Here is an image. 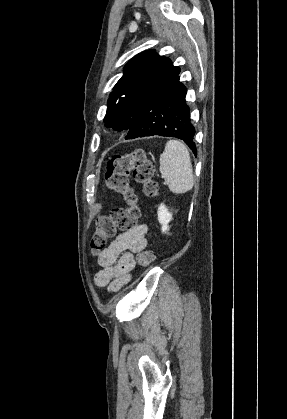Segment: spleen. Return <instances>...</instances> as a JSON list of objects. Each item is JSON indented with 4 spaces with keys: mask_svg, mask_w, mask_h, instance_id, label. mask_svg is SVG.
Masks as SVG:
<instances>
[{
    "mask_svg": "<svg viewBox=\"0 0 287 419\" xmlns=\"http://www.w3.org/2000/svg\"><path fill=\"white\" fill-rule=\"evenodd\" d=\"M160 172L165 184L175 194H183L193 188L194 176L187 147L178 140H169L160 156Z\"/></svg>",
    "mask_w": 287,
    "mask_h": 419,
    "instance_id": "spleen-1",
    "label": "spleen"
}]
</instances>
